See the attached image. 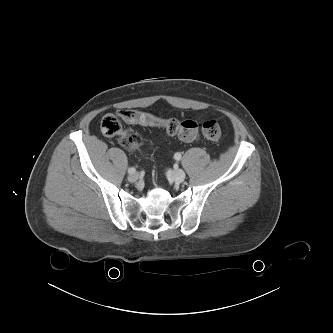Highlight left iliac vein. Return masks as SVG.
<instances>
[{"label": "left iliac vein", "mask_w": 333, "mask_h": 333, "mask_svg": "<svg viewBox=\"0 0 333 333\" xmlns=\"http://www.w3.org/2000/svg\"><path fill=\"white\" fill-rule=\"evenodd\" d=\"M172 177L175 182L181 183L184 181L186 174L182 169H177L172 173Z\"/></svg>", "instance_id": "1"}]
</instances>
